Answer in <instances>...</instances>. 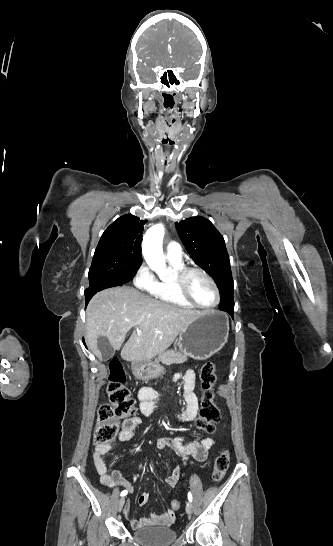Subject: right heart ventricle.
Masks as SVG:
<instances>
[{
  "instance_id": "e07e8e85",
  "label": "right heart ventricle",
  "mask_w": 333,
  "mask_h": 546,
  "mask_svg": "<svg viewBox=\"0 0 333 546\" xmlns=\"http://www.w3.org/2000/svg\"><path fill=\"white\" fill-rule=\"evenodd\" d=\"M169 263L173 269L174 275L170 279H164L159 282V289L157 294L155 295L156 298L162 302L167 303L171 305H175L178 307L186 308V309H193L194 306H192L190 303L185 301L178 293L175 283V275L176 273L184 268L183 262H176L169 260Z\"/></svg>"
}]
</instances>
